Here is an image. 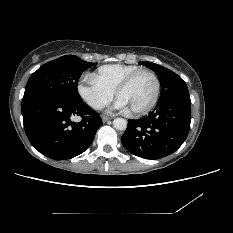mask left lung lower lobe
<instances>
[{
    "mask_svg": "<svg viewBox=\"0 0 233 233\" xmlns=\"http://www.w3.org/2000/svg\"><path fill=\"white\" fill-rule=\"evenodd\" d=\"M189 93L157 104L148 116L129 120L121 137L123 146L145 159H158L175 152L185 141L190 128Z\"/></svg>",
    "mask_w": 233,
    "mask_h": 233,
    "instance_id": "0a47b994",
    "label": "left lung lower lobe"
}]
</instances>
